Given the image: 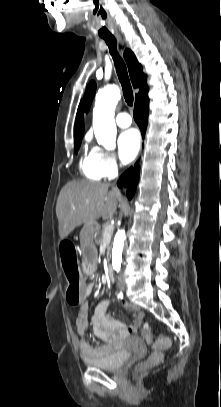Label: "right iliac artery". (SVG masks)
<instances>
[{
    "label": "right iliac artery",
    "instance_id": "1",
    "mask_svg": "<svg viewBox=\"0 0 221 407\" xmlns=\"http://www.w3.org/2000/svg\"><path fill=\"white\" fill-rule=\"evenodd\" d=\"M117 297H122V293H121V292H120V293L118 292V293H117Z\"/></svg>",
    "mask_w": 221,
    "mask_h": 407
}]
</instances>
